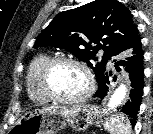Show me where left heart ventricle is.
Segmentation results:
<instances>
[{
	"instance_id": "b2bd125f",
	"label": "left heart ventricle",
	"mask_w": 153,
	"mask_h": 134,
	"mask_svg": "<svg viewBox=\"0 0 153 134\" xmlns=\"http://www.w3.org/2000/svg\"><path fill=\"white\" fill-rule=\"evenodd\" d=\"M50 86L61 97L75 98L86 90L87 79L80 68L70 64H61L53 69Z\"/></svg>"
}]
</instances>
